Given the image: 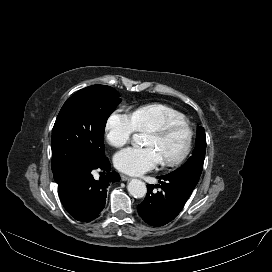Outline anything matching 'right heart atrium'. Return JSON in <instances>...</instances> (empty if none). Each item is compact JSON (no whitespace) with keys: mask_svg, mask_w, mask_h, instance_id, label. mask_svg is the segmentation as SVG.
I'll return each instance as SVG.
<instances>
[{"mask_svg":"<svg viewBox=\"0 0 272 272\" xmlns=\"http://www.w3.org/2000/svg\"><path fill=\"white\" fill-rule=\"evenodd\" d=\"M136 131L132 113L121 108L110 113L104 126L105 140L116 148L125 145Z\"/></svg>","mask_w":272,"mask_h":272,"instance_id":"right-heart-atrium-1","label":"right heart atrium"}]
</instances>
